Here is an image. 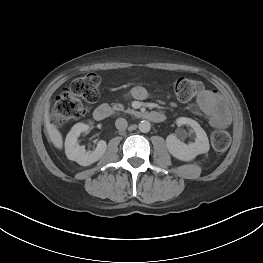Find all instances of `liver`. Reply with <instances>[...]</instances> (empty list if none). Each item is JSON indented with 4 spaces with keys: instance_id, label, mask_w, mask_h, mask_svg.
I'll use <instances>...</instances> for the list:
<instances>
[{
    "instance_id": "obj_1",
    "label": "liver",
    "mask_w": 263,
    "mask_h": 263,
    "mask_svg": "<svg viewBox=\"0 0 263 263\" xmlns=\"http://www.w3.org/2000/svg\"><path fill=\"white\" fill-rule=\"evenodd\" d=\"M49 107H50V104L47 103L46 107H45V111H44L45 127H46L47 133H48L49 138H50L51 142L53 143V145L58 149H62L63 138H62V135L59 132V130L54 125H52L50 123Z\"/></svg>"
}]
</instances>
